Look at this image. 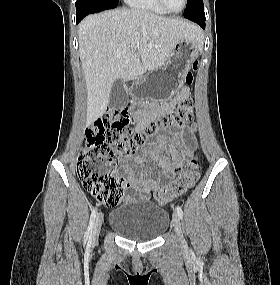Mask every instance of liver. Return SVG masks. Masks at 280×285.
<instances>
[{"label":"liver","mask_w":280,"mask_h":285,"mask_svg":"<svg viewBox=\"0 0 280 285\" xmlns=\"http://www.w3.org/2000/svg\"><path fill=\"white\" fill-rule=\"evenodd\" d=\"M186 38L198 42L202 32L191 22L139 9H115L84 18L78 40L87 90L86 126L106 112L116 80H135L162 67L176 43Z\"/></svg>","instance_id":"6515ba94"}]
</instances>
